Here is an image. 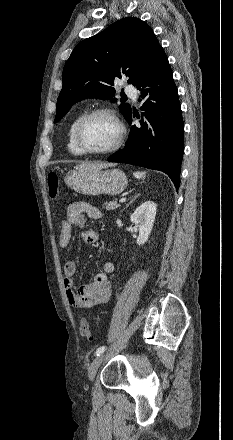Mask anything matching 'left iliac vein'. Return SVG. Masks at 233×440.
Returning <instances> with one entry per match:
<instances>
[{
    "label": "left iliac vein",
    "mask_w": 233,
    "mask_h": 440,
    "mask_svg": "<svg viewBox=\"0 0 233 440\" xmlns=\"http://www.w3.org/2000/svg\"><path fill=\"white\" fill-rule=\"evenodd\" d=\"M104 358H105V354L101 353L92 361V363L88 369V378L90 381L94 380L96 372H97L100 364L103 362Z\"/></svg>",
    "instance_id": "4c4485c4"
}]
</instances>
